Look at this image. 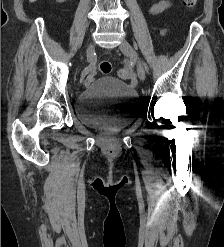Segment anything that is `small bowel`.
I'll list each match as a JSON object with an SVG mask.
<instances>
[{"label":"small bowel","instance_id":"c3829d8e","mask_svg":"<svg viewBox=\"0 0 224 247\" xmlns=\"http://www.w3.org/2000/svg\"><path fill=\"white\" fill-rule=\"evenodd\" d=\"M170 7L171 4L168 0H161L150 7L149 13L152 15H157L170 9Z\"/></svg>","mask_w":224,"mask_h":247}]
</instances>
